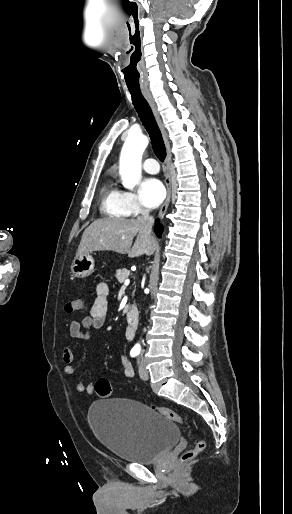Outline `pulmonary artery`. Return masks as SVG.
<instances>
[{
    "label": "pulmonary artery",
    "mask_w": 292,
    "mask_h": 514,
    "mask_svg": "<svg viewBox=\"0 0 292 514\" xmlns=\"http://www.w3.org/2000/svg\"><path fill=\"white\" fill-rule=\"evenodd\" d=\"M139 151V150H138ZM145 171L148 173H154L158 169L157 160L154 157L147 158L145 160Z\"/></svg>",
    "instance_id": "e3ab8cb5"
}]
</instances>
